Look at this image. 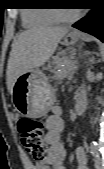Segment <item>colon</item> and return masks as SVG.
Instances as JSON below:
<instances>
[{
	"label": "colon",
	"mask_w": 104,
	"mask_h": 169,
	"mask_svg": "<svg viewBox=\"0 0 104 169\" xmlns=\"http://www.w3.org/2000/svg\"><path fill=\"white\" fill-rule=\"evenodd\" d=\"M17 128L27 152L37 161L44 160L47 153L43 141L44 125L35 119L22 118L18 121Z\"/></svg>",
	"instance_id": "5ec220e1"
}]
</instances>
